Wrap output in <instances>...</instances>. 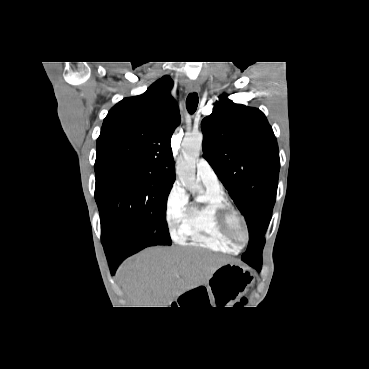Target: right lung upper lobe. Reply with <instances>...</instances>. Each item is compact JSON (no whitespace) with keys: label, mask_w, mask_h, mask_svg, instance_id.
<instances>
[{"label":"right lung upper lobe","mask_w":369,"mask_h":369,"mask_svg":"<svg viewBox=\"0 0 369 369\" xmlns=\"http://www.w3.org/2000/svg\"><path fill=\"white\" fill-rule=\"evenodd\" d=\"M171 87L165 76L108 112L97 139L95 168L135 170L174 182L170 141L180 114Z\"/></svg>","instance_id":"obj_1"}]
</instances>
